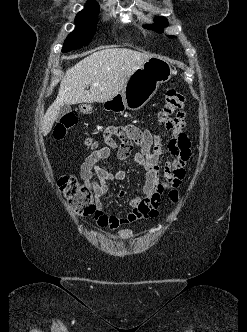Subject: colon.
Listing matches in <instances>:
<instances>
[{
	"instance_id": "obj_1",
	"label": "colon",
	"mask_w": 247,
	"mask_h": 332,
	"mask_svg": "<svg viewBox=\"0 0 247 332\" xmlns=\"http://www.w3.org/2000/svg\"><path fill=\"white\" fill-rule=\"evenodd\" d=\"M185 105V96L178 90L169 89L164 95V104L159 112V119L168 129L176 128L183 121L182 108ZM90 106L82 105L80 112L89 113ZM78 116L76 113L64 115L53 129L55 140H62L67 133L77 124ZM90 146H94L92 141H88ZM58 186L70 205L81 215L96 214L95 205L92 202L87 188L74 177H61ZM172 201H177L178 195L175 190L169 193Z\"/></svg>"
}]
</instances>
